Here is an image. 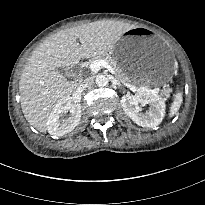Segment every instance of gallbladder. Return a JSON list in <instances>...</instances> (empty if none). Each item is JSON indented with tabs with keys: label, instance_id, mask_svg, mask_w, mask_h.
Here are the masks:
<instances>
[{
	"label": "gallbladder",
	"instance_id": "obj_1",
	"mask_svg": "<svg viewBox=\"0 0 205 205\" xmlns=\"http://www.w3.org/2000/svg\"><path fill=\"white\" fill-rule=\"evenodd\" d=\"M57 71L62 75L68 76V72L64 68H58Z\"/></svg>",
	"mask_w": 205,
	"mask_h": 205
}]
</instances>
